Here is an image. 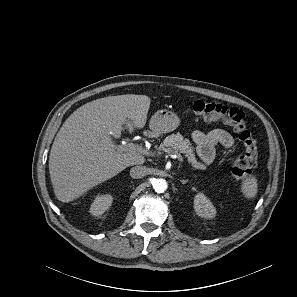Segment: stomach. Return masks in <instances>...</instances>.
Listing matches in <instances>:
<instances>
[{
	"mask_svg": "<svg viewBox=\"0 0 297 297\" xmlns=\"http://www.w3.org/2000/svg\"><path fill=\"white\" fill-rule=\"evenodd\" d=\"M180 123L179 117L166 109L157 111L151 118L149 127L151 136H158L175 130Z\"/></svg>",
	"mask_w": 297,
	"mask_h": 297,
	"instance_id": "1",
	"label": "stomach"
}]
</instances>
